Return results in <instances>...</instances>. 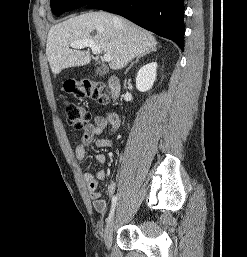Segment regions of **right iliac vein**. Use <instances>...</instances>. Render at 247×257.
I'll use <instances>...</instances> for the list:
<instances>
[{
	"mask_svg": "<svg viewBox=\"0 0 247 257\" xmlns=\"http://www.w3.org/2000/svg\"><path fill=\"white\" fill-rule=\"evenodd\" d=\"M114 225L115 216L113 215L104 232V244L107 249L111 246Z\"/></svg>",
	"mask_w": 247,
	"mask_h": 257,
	"instance_id": "right-iliac-vein-1",
	"label": "right iliac vein"
}]
</instances>
